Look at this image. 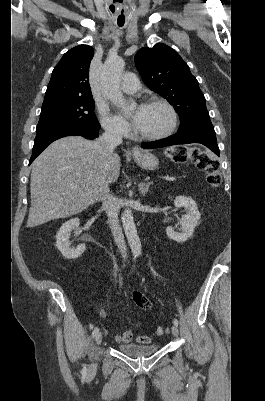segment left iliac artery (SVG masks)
Returning a JSON list of instances; mask_svg holds the SVG:
<instances>
[{
    "label": "left iliac artery",
    "mask_w": 265,
    "mask_h": 401,
    "mask_svg": "<svg viewBox=\"0 0 265 401\" xmlns=\"http://www.w3.org/2000/svg\"><path fill=\"white\" fill-rule=\"evenodd\" d=\"M173 324L178 326V320L176 318L173 320Z\"/></svg>",
    "instance_id": "obj_1"
}]
</instances>
